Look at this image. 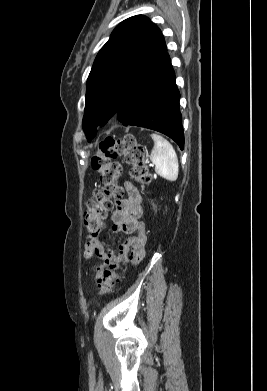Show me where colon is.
I'll return each mask as SVG.
<instances>
[{
	"label": "colon",
	"mask_w": 267,
	"mask_h": 391,
	"mask_svg": "<svg viewBox=\"0 0 267 391\" xmlns=\"http://www.w3.org/2000/svg\"><path fill=\"white\" fill-rule=\"evenodd\" d=\"M123 155L131 166V177L140 184H148L151 176L145 162L144 147L133 135H125L121 139L107 137L99 144V149L91 157V167L100 174L103 188L87 205L84 213V225L90 239L96 238L103 229L108 211L112 208V198H120L123 194L118 181L122 174V165L115 161ZM121 281V274L112 269L103 271L97 280L99 294H107Z\"/></svg>",
	"instance_id": "5ec220e1"
}]
</instances>
